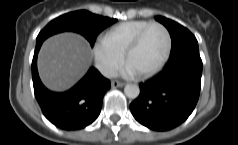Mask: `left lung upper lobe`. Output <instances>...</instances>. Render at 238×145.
<instances>
[{
    "label": "left lung upper lobe",
    "mask_w": 238,
    "mask_h": 145,
    "mask_svg": "<svg viewBox=\"0 0 238 145\" xmlns=\"http://www.w3.org/2000/svg\"><path fill=\"white\" fill-rule=\"evenodd\" d=\"M155 19L168 29L171 36L172 49L169 62L176 60L183 54L199 52L198 42L195 36L187 28L162 16H156Z\"/></svg>",
    "instance_id": "obj_1"
}]
</instances>
